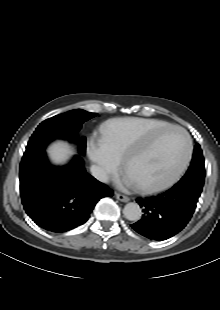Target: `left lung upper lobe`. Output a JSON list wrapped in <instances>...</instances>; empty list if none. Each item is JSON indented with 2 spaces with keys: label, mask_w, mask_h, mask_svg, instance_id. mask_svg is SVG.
I'll return each instance as SVG.
<instances>
[{
  "label": "left lung upper lobe",
  "mask_w": 220,
  "mask_h": 310,
  "mask_svg": "<svg viewBox=\"0 0 220 310\" xmlns=\"http://www.w3.org/2000/svg\"><path fill=\"white\" fill-rule=\"evenodd\" d=\"M205 178V167L202 150L199 144L194 147V155L191 165L186 174L180 179L178 184H193L200 188L203 187Z\"/></svg>",
  "instance_id": "left-lung-upper-lobe-1"
}]
</instances>
